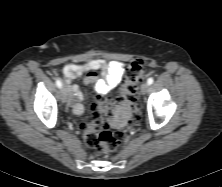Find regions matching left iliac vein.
Segmentation results:
<instances>
[{"label": "left iliac vein", "mask_w": 222, "mask_h": 187, "mask_svg": "<svg viewBox=\"0 0 222 187\" xmlns=\"http://www.w3.org/2000/svg\"><path fill=\"white\" fill-rule=\"evenodd\" d=\"M148 90H149V84L148 83H144V84H142V86H141V94H146L147 92H148Z\"/></svg>", "instance_id": "left-iliac-vein-1"}]
</instances>
